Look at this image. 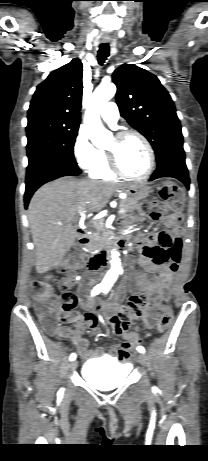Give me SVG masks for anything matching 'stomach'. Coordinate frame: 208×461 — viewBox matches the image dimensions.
I'll use <instances>...</instances> for the list:
<instances>
[{"label":"stomach","mask_w":208,"mask_h":461,"mask_svg":"<svg viewBox=\"0 0 208 461\" xmlns=\"http://www.w3.org/2000/svg\"><path fill=\"white\" fill-rule=\"evenodd\" d=\"M150 188L142 183H134L127 186L125 192L135 200H141L148 196Z\"/></svg>","instance_id":"obj_1"}]
</instances>
